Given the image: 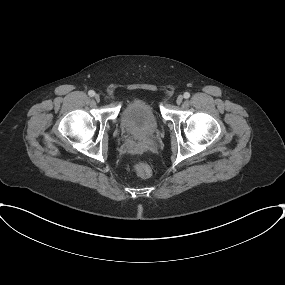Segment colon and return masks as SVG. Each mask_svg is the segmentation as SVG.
I'll return each instance as SVG.
<instances>
[{
    "instance_id": "5ec220e1",
    "label": "colon",
    "mask_w": 285,
    "mask_h": 285,
    "mask_svg": "<svg viewBox=\"0 0 285 285\" xmlns=\"http://www.w3.org/2000/svg\"><path fill=\"white\" fill-rule=\"evenodd\" d=\"M133 168L136 174L141 178H148L151 176L152 173L151 168L145 162L141 161L135 162Z\"/></svg>"
}]
</instances>
